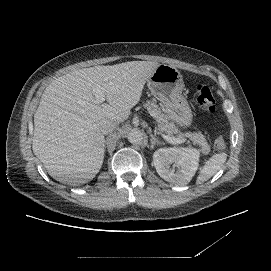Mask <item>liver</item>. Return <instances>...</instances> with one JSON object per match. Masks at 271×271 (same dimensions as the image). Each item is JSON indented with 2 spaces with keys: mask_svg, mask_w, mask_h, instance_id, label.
<instances>
[{
  "mask_svg": "<svg viewBox=\"0 0 271 271\" xmlns=\"http://www.w3.org/2000/svg\"><path fill=\"white\" fill-rule=\"evenodd\" d=\"M159 66L151 61L95 66L70 71L47 86L34 115L32 147L52 178L71 185L95 178L105 157L101 126L128 119ZM99 87L107 103L96 99Z\"/></svg>",
  "mask_w": 271,
  "mask_h": 271,
  "instance_id": "liver-1",
  "label": "liver"
}]
</instances>
